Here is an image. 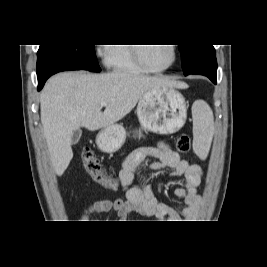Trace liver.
<instances>
[{
	"mask_svg": "<svg viewBox=\"0 0 267 267\" xmlns=\"http://www.w3.org/2000/svg\"><path fill=\"white\" fill-rule=\"evenodd\" d=\"M185 89L188 85L163 76L128 72L91 74L63 72L51 77L40 96L41 123L55 173L61 176L73 158L74 130L90 131L124 118L150 90ZM101 102H107L104 112Z\"/></svg>",
	"mask_w": 267,
	"mask_h": 267,
	"instance_id": "6515ba94",
	"label": "liver"
}]
</instances>
